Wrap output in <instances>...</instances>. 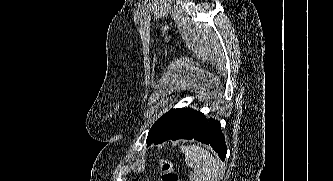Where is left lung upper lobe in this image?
I'll return each instance as SVG.
<instances>
[{"mask_svg":"<svg viewBox=\"0 0 333 181\" xmlns=\"http://www.w3.org/2000/svg\"><path fill=\"white\" fill-rule=\"evenodd\" d=\"M199 114L190 108L172 109L160 117L151 127L148 133L147 142H152L155 138L163 141L172 139L184 130Z\"/></svg>","mask_w":333,"mask_h":181,"instance_id":"left-lung-upper-lobe-1","label":"left lung upper lobe"}]
</instances>
